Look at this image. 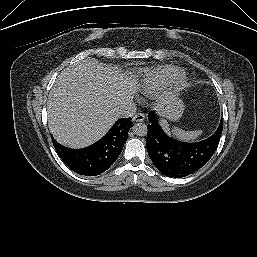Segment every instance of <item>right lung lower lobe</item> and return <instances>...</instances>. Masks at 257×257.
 I'll list each match as a JSON object with an SVG mask.
<instances>
[{
    "instance_id": "1",
    "label": "right lung lower lobe",
    "mask_w": 257,
    "mask_h": 257,
    "mask_svg": "<svg viewBox=\"0 0 257 257\" xmlns=\"http://www.w3.org/2000/svg\"><path fill=\"white\" fill-rule=\"evenodd\" d=\"M131 126V118H121L101 140L82 149L62 146L53 137L52 141L59 157L71 170L80 175L95 176L103 173L116 161L127 141Z\"/></svg>"
}]
</instances>
